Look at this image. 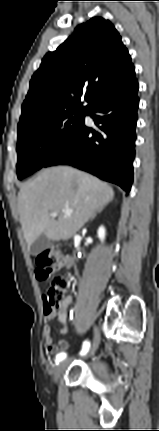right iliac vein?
<instances>
[{
	"instance_id": "1",
	"label": "right iliac vein",
	"mask_w": 159,
	"mask_h": 431,
	"mask_svg": "<svg viewBox=\"0 0 159 431\" xmlns=\"http://www.w3.org/2000/svg\"><path fill=\"white\" fill-rule=\"evenodd\" d=\"M99 342H100V334H99V331H98L97 327H94V343H93V348H92V351H91L92 354L98 348ZM68 363L69 362L67 360H65V361L60 362L55 367V370H54V379H55V381H57L60 378V376L64 373V371H65Z\"/></svg>"
}]
</instances>
